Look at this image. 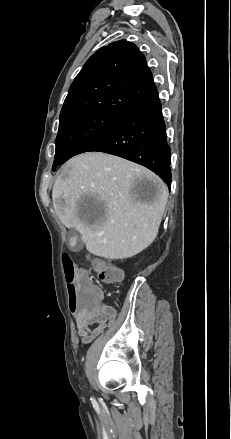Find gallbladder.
Returning <instances> with one entry per match:
<instances>
[{
    "label": "gallbladder",
    "mask_w": 231,
    "mask_h": 439,
    "mask_svg": "<svg viewBox=\"0 0 231 439\" xmlns=\"http://www.w3.org/2000/svg\"><path fill=\"white\" fill-rule=\"evenodd\" d=\"M69 244H70L71 248H73L74 250L81 249L82 245L79 243V239H78L77 235L75 234V232H72L70 239H69Z\"/></svg>",
    "instance_id": "obj_1"
}]
</instances>
